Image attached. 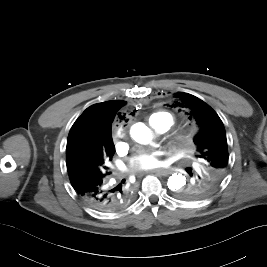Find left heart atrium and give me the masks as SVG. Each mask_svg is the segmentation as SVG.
Segmentation results:
<instances>
[{"instance_id": "39dd6f15", "label": "left heart atrium", "mask_w": 267, "mask_h": 267, "mask_svg": "<svg viewBox=\"0 0 267 267\" xmlns=\"http://www.w3.org/2000/svg\"><path fill=\"white\" fill-rule=\"evenodd\" d=\"M161 153L159 151L139 153L131 159L129 171L142 173L161 166Z\"/></svg>"}]
</instances>
